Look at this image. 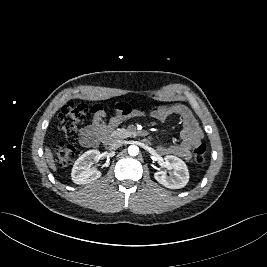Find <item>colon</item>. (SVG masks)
<instances>
[{
  "mask_svg": "<svg viewBox=\"0 0 267 267\" xmlns=\"http://www.w3.org/2000/svg\"><path fill=\"white\" fill-rule=\"evenodd\" d=\"M93 111L84 103L70 102L65 105L59 114V128L66 137V142H59L55 149V161L59 166H66L77 156L76 143L80 139V125L87 114ZM206 145L199 143L193 150L196 163L205 160Z\"/></svg>",
  "mask_w": 267,
  "mask_h": 267,
  "instance_id": "obj_1",
  "label": "colon"
}]
</instances>
